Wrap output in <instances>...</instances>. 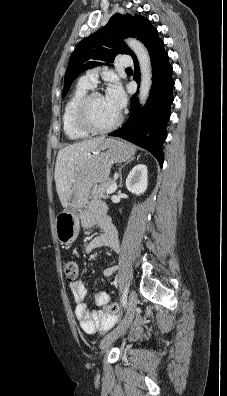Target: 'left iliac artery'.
I'll return each mask as SVG.
<instances>
[{"label": "left iliac artery", "mask_w": 227, "mask_h": 396, "mask_svg": "<svg viewBox=\"0 0 227 396\" xmlns=\"http://www.w3.org/2000/svg\"><path fill=\"white\" fill-rule=\"evenodd\" d=\"M127 294H128V287L126 286V288L122 294V297H121V303L124 308H126V304H127Z\"/></svg>", "instance_id": "obj_1"}]
</instances>
